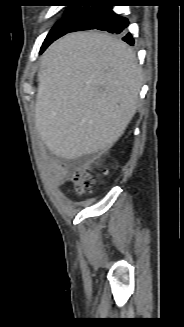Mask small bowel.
Returning <instances> with one entry per match:
<instances>
[{
    "label": "small bowel",
    "mask_w": 184,
    "mask_h": 327,
    "mask_svg": "<svg viewBox=\"0 0 184 327\" xmlns=\"http://www.w3.org/2000/svg\"><path fill=\"white\" fill-rule=\"evenodd\" d=\"M53 177L58 184H63L67 181L70 175L74 172L75 167L71 164L53 162L51 164Z\"/></svg>",
    "instance_id": "c3829d8e"
}]
</instances>
